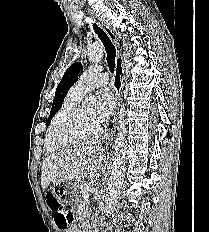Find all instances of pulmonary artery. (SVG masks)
Listing matches in <instances>:
<instances>
[{"instance_id": "obj_1", "label": "pulmonary artery", "mask_w": 209, "mask_h": 232, "mask_svg": "<svg viewBox=\"0 0 209 232\" xmlns=\"http://www.w3.org/2000/svg\"><path fill=\"white\" fill-rule=\"evenodd\" d=\"M109 75L106 72H102V67L98 65H92L86 69L74 86L70 89L69 95L81 101L82 98L93 88L107 83Z\"/></svg>"}]
</instances>
